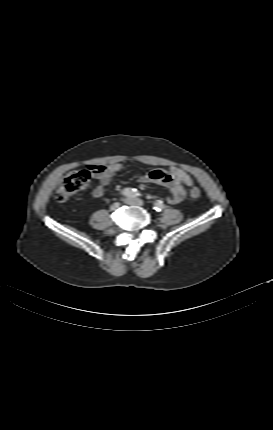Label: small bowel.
Here are the masks:
<instances>
[{"mask_svg": "<svg viewBox=\"0 0 273 430\" xmlns=\"http://www.w3.org/2000/svg\"><path fill=\"white\" fill-rule=\"evenodd\" d=\"M124 168L123 163L106 164H90L88 173L99 181V185L94 188L92 194L95 198H100L105 193V187L109 185L111 178ZM141 183L153 182L161 184L170 190V196L166 201L169 204H177L184 200L186 196L185 187L193 185L192 177L184 170L173 167L169 170L154 169L149 173L140 177Z\"/></svg>", "mask_w": 273, "mask_h": 430, "instance_id": "c3829d8e", "label": "small bowel"}]
</instances>
